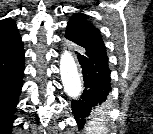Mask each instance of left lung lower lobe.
Listing matches in <instances>:
<instances>
[{
  "label": "left lung lower lobe",
  "instance_id": "0a47b994",
  "mask_svg": "<svg viewBox=\"0 0 153 134\" xmlns=\"http://www.w3.org/2000/svg\"><path fill=\"white\" fill-rule=\"evenodd\" d=\"M77 54L84 77V91L81 99L72 101L71 106L79 127L85 124V117L107 99L111 90L110 69L108 58L89 53Z\"/></svg>",
  "mask_w": 153,
  "mask_h": 134
}]
</instances>
